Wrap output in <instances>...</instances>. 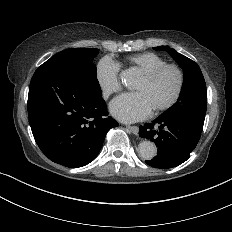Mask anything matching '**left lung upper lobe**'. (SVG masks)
Returning <instances> with one entry per match:
<instances>
[{
	"instance_id": "5c2ea615",
	"label": "left lung upper lobe",
	"mask_w": 232,
	"mask_h": 232,
	"mask_svg": "<svg viewBox=\"0 0 232 232\" xmlns=\"http://www.w3.org/2000/svg\"><path fill=\"white\" fill-rule=\"evenodd\" d=\"M153 49L167 51L184 70V82L180 96L177 102L161 116L184 119L202 130L207 107V93L206 83L198 64L168 46Z\"/></svg>"
}]
</instances>
